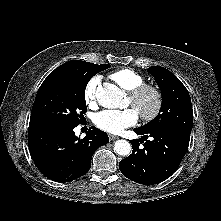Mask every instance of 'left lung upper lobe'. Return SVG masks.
Masks as SVG:
<instances>
[{
  "instance_id": "obj_1",
  "label": "left lung upper lobe",
  "mask_w": 221,
  "mask_h": 221,
  "mask_svg": "<svg viewBox=\"0 0 221 221\" xmlns=\"http://www.w3.org/2000/svg\"><path fill=\"white\" fill-rule=\"evenodd\" d=\"M161 89L160 114L151 122L139 127L141 131L171 130L190 135L193 125V110L190 95L183 83L164 67L148 69Z\"/></svg>"
}]
</instances>
